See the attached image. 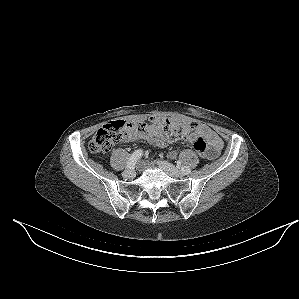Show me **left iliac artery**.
Returning <instances> with one entry per match:
<instances>
[{
    "mask_svg": "<svg viewBox=\"0 0 299 299\" xmlns=\"http://www.w3.org/2000/svg\"><path fill=\"white\" fill-rule=\"evenodd\" d=\"M181 171H182L185 175H187V174H189V173L191 172V169H190V167H188V166H184V167L181 168Z\"/></svg>",
    "mask_w": 299,
    "mask_h": 299,
    "instance_id": "44dca946",
    "label": "left iliac artery"
}]
</instances>
